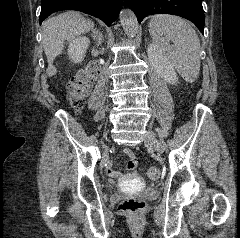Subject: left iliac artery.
Instances as JSON below:
<instances>
[{
  "mask_svg": "<svg viewBox=\"0 0 240 238\" xmlns=\"http://www.w3.org/2000/svg\"><path fill=\"white\" fill-rule=\"evenodd\" d=\"M164 135H165V134L162 133V132H159V133H158V136H159V137H162V136H164ZM159 140H160V143H159L160 146H165V144H166L165 141H161V140H162L161 138H160Z\"/></svg>",
  "mask_w": 240,
  "mask_h": 238,
  "instance_id": "1",
  "label": "left iliac artery"
}]
</instances>
